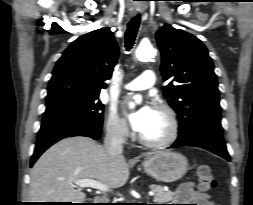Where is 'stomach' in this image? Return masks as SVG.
I'll return each instance as SVG.
<instances>
[{
    "label": "stomach",
    "mask_w": 253,
    "mask_h": 205,
    "mask_svg": "<svg viewBox=\"0 0 253 205\" xmlns=\"http://www.w3.org/2000/svg\"><path fill=\"white\" fill-rule=\"evenodd\" d=\"M143 168L158 181L173 182L187 172L188 161L179 153L161 151L147 158L143 162Z\"/></svg>",
    "instance_id": "obj_1"
}]
</instances>
